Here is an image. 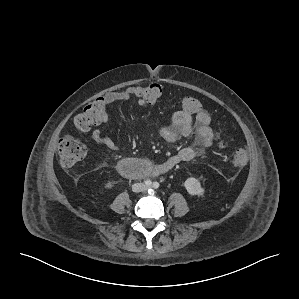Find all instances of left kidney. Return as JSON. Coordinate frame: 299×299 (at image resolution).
Instances as JSON below:
<instances>
[{
    "label": "left kidney",
    "instance_id": "left-kidney-1",
    "mask_svg": "<svg viewBox=\"0 0 299 299\" xmlns=\"http://www.w3.org/2000/svg\"><path fill=\"white\" fill-rule=\"evenodd\" d=\"M184 186L190 195L202 196L204 189L201 187V183L198 179L189 177L185 180Z\"/></svg>",
    "mask_w": 299,
    "mask_h": 299
}]
</instances>
